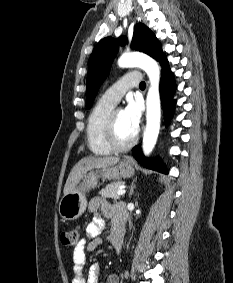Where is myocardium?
Listing matches in <instances>:
<instances>
[{"label":"myocardium","mask_w":233,"mask_h":283,"mask_svg":"<svg viewBox=\"0 0 233 283\" xmlns=\"http://www.w3.org/2000/svg\"><path fill=\"white\" fill-rule=\"evenodd\" d=\"M120 109H113L109 114L105 126L104 138L107 146L115 152H123L130 149L138 138V131L135 132L133 137L126 143H119L116 139V115Z\"/></svg>","instance_id":"f54148a6"}]
</instances>
